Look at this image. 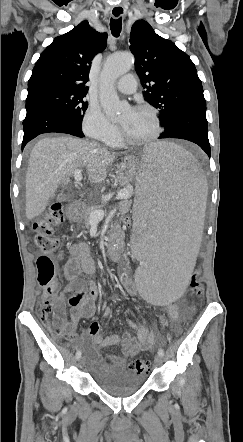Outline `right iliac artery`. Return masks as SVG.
Instances as JSON below:
<instances>
[{"label": "right iliac artery", "instance_id": "right-iliac-artery-1", "mask_svg": "<svg viewBox=\"0 0 243 442\" xmlns=\"http://www.w3.org/2000/svg\"><path fill=\"white\" fill-rule=\"evenodd\" d=\"M80 358H81V351L78 350V351L76 352V359L79 360Z\"/></svg>", "mask_w": 243, "mask_h": 442}]
</instances>
